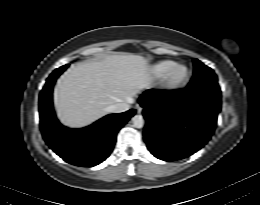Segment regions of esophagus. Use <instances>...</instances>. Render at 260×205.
Listing matches in <instances>:
<instances>
[{"mask_svg": "<svg viewBox=\"0 0 260 205\" xmlns=\"http://www.w3.org/2000/svg\"><path fill=\"white\" fill-rule=\"evenodd\" d=\"M136 109H137V113L140 114L142 112V107L139 104L136 105Z\"/></svg>", "mask_w": 260, "mask_h": 205, "instance_id": "obj_1", "label": "esophagus"}]
</instances>
